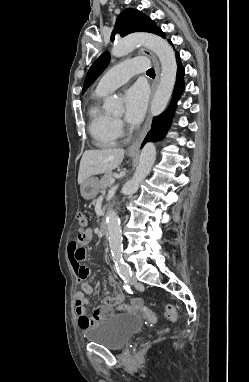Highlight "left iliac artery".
Masks as SVG:
<instances>
[{"label":"left iliac artery","instance_id":"1","mask_svg":"<svg viewBox=\"0 0 249 382\" xmlns=\"http://www.w3.org/2000/svg\"><path fill=\"white\" fill-rule=\"evenodd\" d=\"M112 256L119 276L127 282V280H129L132 276L130 266L123 260L122 253L120 251H113Z\"/></svg>","mask_w":249,"mask_h":382}]
</instances>
